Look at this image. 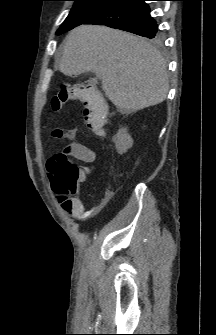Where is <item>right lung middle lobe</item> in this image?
<instances>
[{"mask_svg": "<svg viewBox=\"0 0 216 335\" xmlns=\"http://www.w3.org/2000/svg\"><path fill=\"white\" fill-rule=\"evenodd\" d=\"M75 1L68 17L57 31V35L65 33L74 27L84 24L86 21L106 9L117 0H72ZM160 39L159 35L154 38Z\"/></svg>", "mask_w": 216, "mask_h": 335, "instance_id": "right-lung-middle-lobe-1", "label": "right lung middle lobe"}]
</instances>
